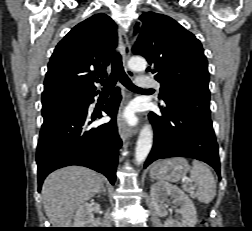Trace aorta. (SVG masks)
<instances>
[{
    "instance_id": "762f6f07",
    "label": "aorta",
    "mask_w": 252,
    "mask_h": 231,
    "mask_svg": "<svg viewBox=\"0 0 252 231\" xmlns=\"http://www.w3.org/2000/svg\"><path fill=\"white\" fill-rule=\"evenodd\" d=\"M128 67L133 71H145L147 62L143 57H132L128 61ZM153 131L150 125H145L140 131L136 149L135 160L137 164L144 162L152 148Z\"/></svg>"
}]
</instances>
